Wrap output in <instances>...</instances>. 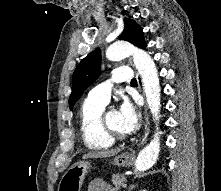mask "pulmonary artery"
<instances>
[{"mask_svg":"<svg viewBox=\"0 0 221 191\" xmlns=\"http://www.w3.org/2000/svg\"><path fill=\"white\" fill-rule=\"evenodd\" d=\"M133 78L134 73L129 67H119L113 71V81L116 83L131 82ZM111 89V82L101 83L89 91L87 98L95 102L108 103Z\"/></svg>","mask_w":221,"mask_h":191,"instance_id":"pulmonary-artery-1","label":"pulmonary artery"}]
</instances>
